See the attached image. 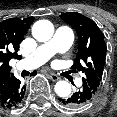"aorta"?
<instances>
[{
  "label": "aorta",
  "mask_w": 117,
  "mask_h": 117,
  "mask_svg": "<svg viewBox=\"0 0 117 117\" xmlns=\"http://www.w3.org/2000/svg\"><path fill=\"white\" fill-rule=\"evenodd\" d=\"M54 34V26L48 20H39L34 23L32 27L33 37L40 41L46 42L52 38ZM55 93L61 97L65 98L71 94V85L67 81H59L55 85Z\"/></svg>",
  "instance_id": "aorta-1"
}]
</instances>
